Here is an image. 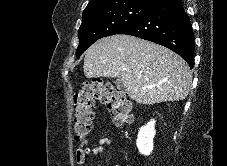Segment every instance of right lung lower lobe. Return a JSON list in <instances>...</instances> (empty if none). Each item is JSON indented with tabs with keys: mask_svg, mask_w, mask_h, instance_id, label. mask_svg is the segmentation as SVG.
<instances>
[{
	"mask_svg": "<svg viewBox=\"0 0 227 166\" xmlns=\"http://www.w3.org/2000/svg\"><path fill=\"white\" fill-rule=\"evenodd\" d=\"M118 34L132 35L165 46L194 66V34L182 0H163Z\"/></svg>",
	"mask_w": 227,
	"mask_h": 166,
	"instance_id": "obj_1",
	"label": "right lung lower lobe"
}]
</instances>
